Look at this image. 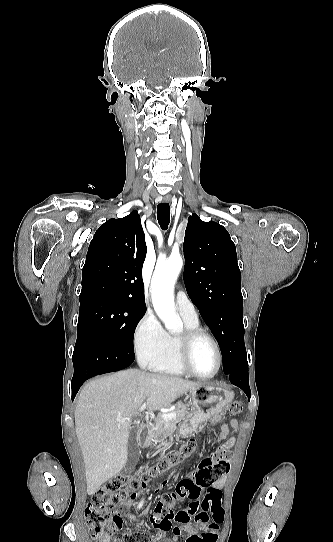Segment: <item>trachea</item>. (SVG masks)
Instances as JSON below:
<instances>
[{"label": "trachea", "mask_w": 333, "mask_h": 542, "mask_svg": "<svg viewBox=\"0 0 333 542\" xmlns=\"http://www.w3.org/2000/svg\"><path fill=\"white\" fill-rule=\"evenodd\" d=\"M157 219L163 230H166L170 220L169 203H159L157 206Z\"/></svg>", "instance_id": "3493384b"}]
</instances>
